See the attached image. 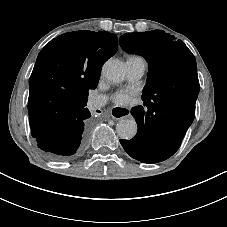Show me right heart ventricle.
Wrapping results in <instances>:
<instances>
[{"label": "right heart ventricle", "instance_id": "1", "mask_svg": "<svg viewBox=\"0 0 227 227\" xmlns=\"http://www.w3.org/2000/svg\"><path fill=\"white\" fill-rule=\"evenodd\" d=\"M130 58H135V59H141V60H143L142 58H140V57H138V56H132V57H130Z\"/></svg>", "mask_w": 227, "mask_h": 227}]
</instances>
